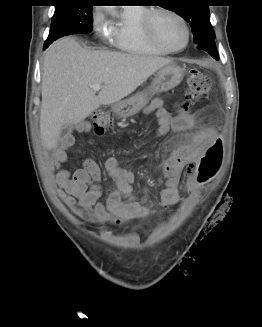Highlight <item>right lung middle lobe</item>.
<instances>
[{"mask_svg": "<svg viewBox=\"0 0 262 327\" xmlns=\"http://www.w3.org/2000/svg\"><path fill=\"white\" fill-rule=\"evenodd\" d=\"M77 0L60 1L55 6L49 36L44 48L54 40L70 34H88L92 31V6L77 5Z\"/></svg>", "mask_w": 262, "mask_h": 327, "instance_id": "obj_1", "label": "right lung middle lobe"}]
</instances>
